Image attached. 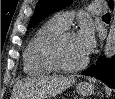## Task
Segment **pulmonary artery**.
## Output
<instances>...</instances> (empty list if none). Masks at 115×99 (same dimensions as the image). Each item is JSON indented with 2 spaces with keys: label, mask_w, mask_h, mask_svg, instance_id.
Returning a JSON list of instances; mask_svg holds the SVG:
<instances>
[{
  "label": "pulmonary artery",
  "mask_w": 115,
  "mask_h": 99,
  "mask_svg": "<svg viewBox=\"0 0 115 99\" xmlns=\"http://www.w3.org/2000/svg\"><path fill=\"white\" fill-rule=\"evenodd\" d=\"M89 12L95 15L106 12V7L102 1H94L88 8ZM73 14L72 12L62 11L55 14L53 21L63 28H68L71 24Z\"/></svg>",
  "instance_id": "pulmonary-artery-1"
}]
</instances>
